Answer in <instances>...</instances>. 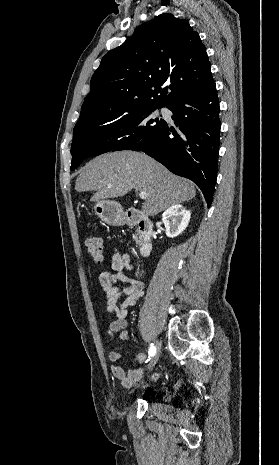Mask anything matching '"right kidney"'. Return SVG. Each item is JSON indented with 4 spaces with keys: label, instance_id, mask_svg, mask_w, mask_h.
I'll list each match as a JSON object with an SVG mask.
<instances>
[{
    "label": "right kidney",
    "instance_id": "obj_1",
    "mask_svg": "<svg viewBox=\"0 0 279 465\" xmlns=\"http://www.w3.org/2000/svg\"><path fill=\"white\" fill-rule=\"evenodd\" d=\"M191 212L180 204L168 208L162 214V221L166 228V235L170 238L181 234L190 221Z\"/></svg>",
    "mask_w": 279,
    "mask_h": 465
}]
</instances>
